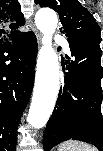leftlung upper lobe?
Here are the masks:
<instances>
[{
  "instance_id": "1",
  "label": "left lung upper lobe",
  "mask_w": 103,
  "mask_h": 151,
  "mask_svg": "<svg viewBox=\"0 0 103 151\" xmlns=\"http://www.w3.org/2000/svg\"><path fill=\"white\" fill-rule=\"evenodd\" d=\"M35 3L57 11L62 23L60 30L69 43L99 44L102 41L99 25L78 0H35Z\"/></svg>"
}]
</instances>
